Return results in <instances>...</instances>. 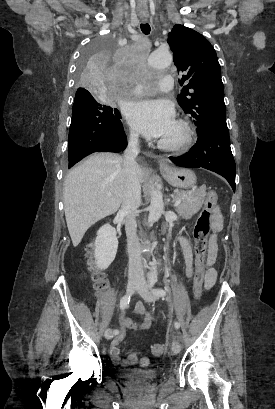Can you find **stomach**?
Listing matches in <instances>:
<instances>
[{
	"label": "stomach",
	"mask_w": 275,
	"mask_h": 409,
	"mask_svg": "<svg viewBox=\"0 0 275 409\" xmlns=\"http://www.w3.org/2000/svg\"><path fill=\"white\" fill-rule=\"evenodd\" d=\"M161 172L172 186L177 188H191L196 184V176L190 168H176V166H161Z\"/></svg>",
	"instance_id": "obj_1"
}]
</instances>
